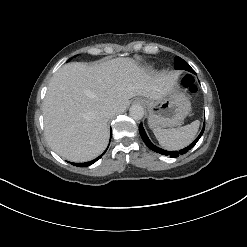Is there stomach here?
<instances>
[{"label": "stomach", "instance_id": "obj_1", "mask_svg": "<svg viewBox=\"0 0 247 247\" xmlns=\"http://www.w3.org/2000/svg\"><path fill=\"white\" fill-rule=\"evenodd\" d=\"M140 101L148 111V124L153 130L181 125L191 111L189 97L177 85H174L162 99H140Z\"/></svg>", "mask_w": 247, "mask_h": 247}]
</instances>
